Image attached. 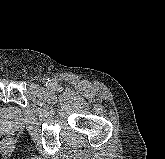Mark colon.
Returning a JSON list of instances; mask_svg holds the SVG:
<instances>
[{
  "instance_id": "colon-1",
  "label": "colon",
  "mask_w": 165,
  "mask_h": 159,
  "mask_svg": "<svg viewBox=\"0 0 165 159\" xmlns=\"http://www.w3.org/2000/svg\"><path fill=\"white\" fill-rule=\"evenodd\" d=\"M12 142V135L10 133H3L0 135V143L10 144Z\"/></svg>"
}]
</instances>
